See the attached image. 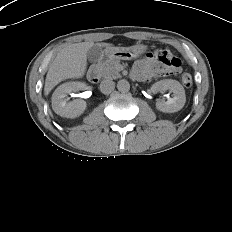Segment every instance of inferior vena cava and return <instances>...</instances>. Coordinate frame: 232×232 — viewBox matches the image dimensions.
<instances>
[{
	"mask_svg": "<svg viewBox=\"0 0 232 232\" xmlns=\"http://www.w3.org/2000/svg\"><path fill=\"white\" fill-rule=\"evenodd\" d=\"M114 88H115V83L111 79L103 80L100 83V91L103 94L111 93L114 90Z\"/></svg>",
	"mask_w": 232,
	"mask_h": 232,
	"instance_id": "1",
	"label": "inferior vena cava"
}]
</instances>
